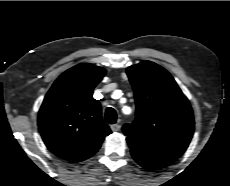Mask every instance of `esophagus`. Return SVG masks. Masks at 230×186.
Wrapping results in <instances>:
<instances>
[{"mask_svg":"<svg viewBox=\"0 0 230 186\" xmlns=\"http://www.w3.org/2000/svg\"><path fill=\"white\" fill-rule=\"evenodd\" d=\"M110 128L113 132H117L120 130L121 126L119 124H112Z\"/></svg>","mask_w":230,"mask_h":186,"instance_id":"34e87169","label":"esophagus"}]
</instances>
